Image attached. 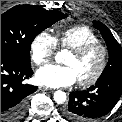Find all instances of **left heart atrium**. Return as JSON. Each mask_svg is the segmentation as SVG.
<instances>
[{
  "label": "left heart atrium",
  "mask_w": 122,
  "mask_h": 122,
  "mask_svg": "<svg viewBox=\"0 0 122 122\" xmlns=\"http://www.w3.org/2000/svg\"><path fill=\"white\" fill-rule=\"evenodd\" d=\"M36 80L46 87H64L77 81L73 68L69 65L47 64L36 72Z\"/></svg>",
  "instance_id": "39dd6f15"
}]
</instances>
